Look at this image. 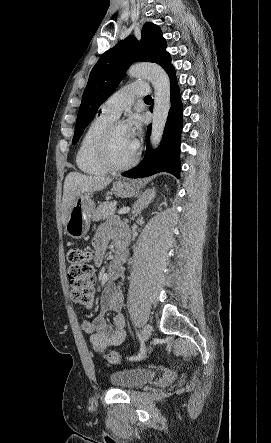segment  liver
Masks as SVG:
<instances>
[{
  "mask_svg": "<svg viewBox=\"0 0 271 443\" xmlns=\"http://www.w3.org/2000/svg\"><path fill=\"white\" fill-rule=\"evenodd\" d=\"M112 178H97V176H83L78 172H70L65 178L62 198V223L66 225L67 216L77 196L88 194V192H99L104 190Z\"/></svg>",
  "mask_w": 271,
  "mask_h": 443,
  "instance_id": "liver-1",
  "label": "liver"
}]
</instances>
